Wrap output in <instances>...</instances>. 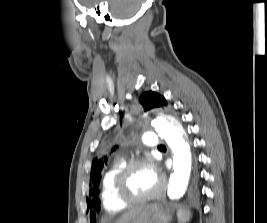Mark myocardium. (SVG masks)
Returning a JSON list of instances; mask_svg holds the SVG:
<instances>
[{"instance_id":"obj_1","label":"myocardium","mask_w":267,"mask_h":223,"mask_svg":"<svg viewBox=\"0 0 267 223\" xmlns=\"http://www.w3.org/2000/svg\"><path fill=\"white\" fill-rule=\"evenodd\" d=\"M138 166H146L152 170L158 177L159 182L152 192L143 196L132 197L126 193L125 184L131 172ZM113 188L117 198L124 204L145 203L154 200L162 193L164 189V179L158 174L155 161L150 156H143L125 163L114 179Z\"/></svg>"}]
</instances>
